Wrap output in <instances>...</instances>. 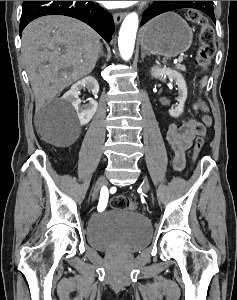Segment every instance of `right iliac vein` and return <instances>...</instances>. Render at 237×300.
Listing matches in <instances>:
<instances>
[{
	"label": "right iliac vein",
	"mask_w": 237,
	"mask_h": 300,
	"mask_svg": "<svg viewBox=\"0 0 237 300\" xmlns=\"http://www.w3.org/2000/svg\"><path fill=\"white\" fill-rule=\"evenodd\" d=\"M105 184H106L105 178L103 176L99 177L94 186L93 198L97 197L101 187L104 186Z\"/></svg>",
	"instance_id": "obj_1"
}]
</instances>
